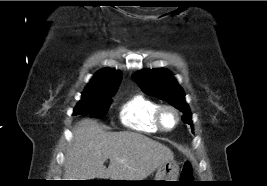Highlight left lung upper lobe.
I'll list each match as a JSON object with an SVG mask.
<instances>
[{"mask_svg":"<svg viewBox=\"0 0 267 186\" xmlns=\"http://www.w3.org/2000/svg\"><path fill=\"white\" fill-rule=\"evenodd\" d=\"M132 78L145 93L165 100L183 112V122L193 128L185 94L168 70L146 69L135 73Z\"/></svg>","mask_w":267,"mask_h":186,"instance_id":"obj_1","label":"left lung upper lobe"}]
</instances>
